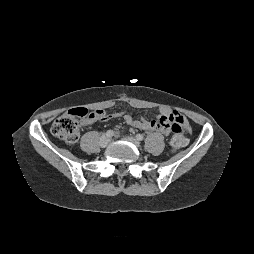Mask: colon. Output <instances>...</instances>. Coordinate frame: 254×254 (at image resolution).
I'll return each mask as SVG.
<instances>
[{
  "label": "colon",
  "mask_w": 254,
  "mask_h": 254,
  "mask_svg": "<svg viewBox=\"0 0 254 254\" xmlns=\"http://www.w3.org/2000/svg\"><path fill=\"white\" fill-rule=\"evenodd\" d=\"M99 116L98 111H89L85 108H75L58 117L51 126L52 134L68 143L73 144L79 137L81 125ZM173 133L171 138V147L173 150L179 149L187 144V135L190 127L182 115L174 117L170 124Z\"/></svg>",
  "instance_id": "obj_1"
}]
</instances>
